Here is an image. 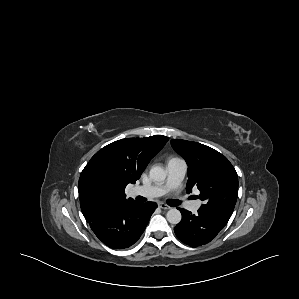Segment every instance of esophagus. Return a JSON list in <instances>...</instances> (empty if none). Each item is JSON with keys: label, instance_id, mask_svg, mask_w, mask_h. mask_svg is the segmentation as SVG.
<instances>
[{"label": "esophagus", "instance_id": "34e87169", "mask_svg": "<svg viewBox=\"0 0 299 299\" xmlns=\"http://www.w3.org/2000/svg\"><path fill=\"white\" fill-rule=\"evenodd\" d=\"M159 208L163 209V210H169L171 209V207L165 203H159L158 204Z\"/></svg>", "mask_w": 299, "mask_h": 299}]
</instances>
